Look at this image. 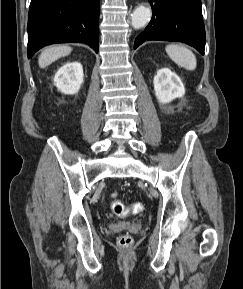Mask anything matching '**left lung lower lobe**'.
<instances>
[{
  "instance_id": "1",
  "label": "left lung lower lobe",
  "mask_w": 243,
  "mask_h": 289,
  "mask_svg": "<svg viewBox=\"0 0 243 289\" xmlns=\"http://www.w3.org/2000/svg\"><path fill=\"white\" fill-rule=\"evenodd\" d=\"M153 16L135 40L134 49L146 40L184 42L202 55L205 49V28L201 0H149Z\"/></svg>"
}]
</instances>
